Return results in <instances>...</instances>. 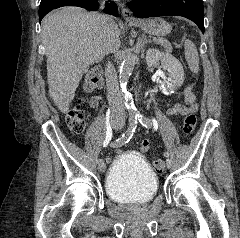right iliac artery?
Returning <instances> with one entry per match:
<instances>
[{
  "label": "right iliac artery",
  "instance_id": "82829eb1",
  "mask_svg": "<svg viewBox=\"0 0 240 238\" xmlns=\"http://www.w3.org/2000/svg\"><path fill=\"white\" fill-rule=\"evenodd\" d=\"M137 127V118L136 117H130L129 118V126L128 129L126 130V132L119 138L117 139L112 146L113 147H120L126 143H128L130 141V139L132 138L135 129ZM103 162V159H98V163Z\"/></svg>",
  "mask_w": 240,
  "mask_h": 238
}]
</instances>
